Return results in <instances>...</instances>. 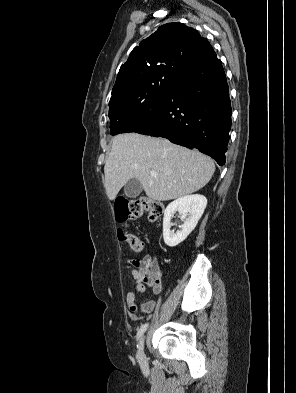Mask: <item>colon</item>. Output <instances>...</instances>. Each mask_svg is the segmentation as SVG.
I'll list each match as a JSON object with an SVG mask.
<instances>
[{
	"label": "colon",
	"instance_id": "obj_1",
	"mask_svg": "<svg viewBox=\"0 0 296 393\" xmlns=\"http://www.w3.org/2000/svg\"><path fill=\"white\" fill-rule=\"evenodd\" d=\"M147 213L150 219H156L163 213V205L149 197H140L133 201L120 200L115 206L116 219L124 223ZM118 238L125 241L134 251H141L143 244L140 239L130 233L125 226L118 228Z\"/></svg>",
	"mask_w": 296,
	"mask_h": 393
}]
</instances>
